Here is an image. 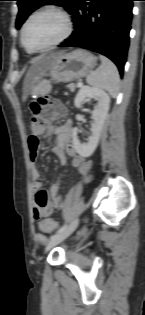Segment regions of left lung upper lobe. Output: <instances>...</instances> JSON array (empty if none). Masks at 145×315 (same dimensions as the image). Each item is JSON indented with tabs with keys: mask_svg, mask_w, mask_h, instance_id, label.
Masks as SVG:
<instances>
[{
	"mask_svg": "<svg viewBox=\"0 0 145 315\" xmlns=\"http://www.w3.org/2000/svg\"><path fill=\"white\" fill-rule=\"evenodd\" d=\"M18 2L19 13L16 19V28L19 29L27 17L38 7L48 4L56 3L58 6L64 7L70 14H72L78 0H16Z\"/></svg>",
	"mask_w": 145,
	"mask_h": 315,
	"instance_id": "obj_1",
	"label": "left lung upper lobe"
}]
</instances>
